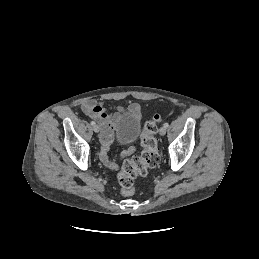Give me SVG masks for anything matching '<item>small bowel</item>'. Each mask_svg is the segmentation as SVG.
Wrapping results in <instances>:
<instances>
[{
  "label": "small bowel",
  "instance_id": "c3829d8e",
  "mask_svg": "<svg viewBox=\"0 0 259 259\" xmlns=\"http://www.w3.org/2000/svg\"><path fill=\"white\" fill-rule=\"evenodd\" d=\"M117 109L119 112L124 110L122 106H118ZM82 110L87 116L96 120L101 128V161L107 168L116 170L118 168L117 160L110 159L107 155V151L114 138L115 125L118 119L117 115L110 112V107L105 106L102 102H99L95 99H88L84 101L82 103ZM129 111L135 118H139L141 115V108L138 104H131L129 106ZM133 152L134 147H129L127 150L122 152L120 157L131 155Z\"/></svg>",
  "mask_w": 259,
  "mask_h": 259
}]
</instances>
